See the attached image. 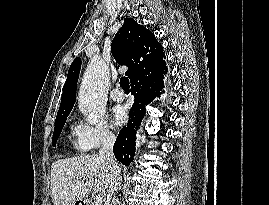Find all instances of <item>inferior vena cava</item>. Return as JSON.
I'll return each instance as SVG.
<instances>
[{"label":"inferior vena cava","mask_w":269,"mask_h":205,"mask_svg":"<svg viewBox=\"0 0 269 205\" xmlns=\"http://www.w3.org/2000/svg\"><path fill=\"white\" fill-rule=\"evenodd\" d=\"M115 143V135L109 131L105 132L102 138V148L99 151V157L104 159L112 172V181L108 190V198H112L113 194L118 190L119 181H121L120 169L113 155V145Z\"/></svg>","instance_id":"1"}]
</instances>
